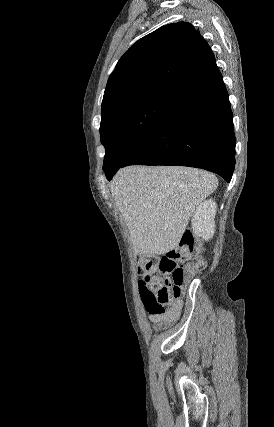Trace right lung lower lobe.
Instances as JSON below:
<instances>
[{"mask_svg": "<svg viewBox=\"0 0 274 427\" xmlns=\"http://www.w3.org/2000/svg\"><path fill=\"white\" fill-rule=\"evenodd\" d=\"M221 73L176 98L156 127L122 163L103 167L108 180L127 165H180L214 172L230 182L235 135Z\"/></svg>", "mask_w": 274, "mask_h": 427, "instance_id": "98d812e1", "label": "right lung lower lobe"}]
</instances>
